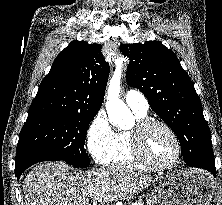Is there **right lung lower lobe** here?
Instances as JSON below:
<instances>
[{
	"mask_svg": "<svg viewBox=\"0 0 222 205\" xmlns=\"http://www.w3.org/2000/svg\"><path fill=\"white\" fill-rule=\"evenodd\" d=\"M51 160L58 161L55 158L42 152L29 153V154L16 156L15 175L17 179H19L20 175L31 165L37 162L51 161Z\"/></svg>",
	"mask_w": 222,
	"mask_h": 205,
	"instance_id": "98d812e1",
	"label": "right lung lower lobe"
}]
</instances>
